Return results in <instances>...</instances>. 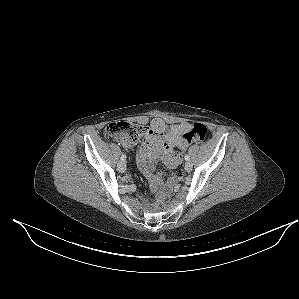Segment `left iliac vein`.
<instances>
[{
	"label": "left iliac vein",
	"instance_id": "obj_1",
	"mask_svg": "<svg viewBox=\"0 0 299 299\" xmlns=\"http://www.w3.org/2000/svg\"><path fill=\"white\" fill-rule=\"evenodd\" d=\"M184 168L186 171H191L192 170V163L190 161H187L184 165Z\"/></svg>",
	"mask_w": 299,
	"mask_h": 299
}]
</instances>
